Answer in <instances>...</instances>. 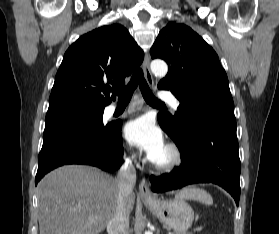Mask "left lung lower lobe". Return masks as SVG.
Wrapping results in <instances>:
<instances>
[{"label":"left lung lower lobe","mask_w":279,"mask_h":234,"mask_svg":"<svg viewBox=\"0 0 279 234\" xmlns=\"http://www.w3.org/2000/svg\"><path fill=\"white\" fill-rule=\"evenodd\" d=\"M161 89V88H159ZM183 131L181 165L169 174L151 176V189L164 192L193 183H215L239 204L240 159L236 120L222 114L188 113Z\"/></svg>","instance_id":"0a47b994"}]
</instances>
